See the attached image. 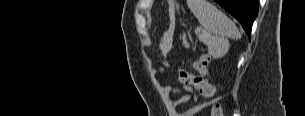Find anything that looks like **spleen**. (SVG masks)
Instances as JSON below:
<instances>
[{
    "label": "spleen",
    "mask_w": 305,
    "mask_h": 116,
    "mask_svg": "<svg viewBox=\"0 0 305 116\" xmlns=\"http://www.w3.org/2000/svg\"><path fill=\"white\" fill-rule=\"evenodd\" d=\"M187 5L201 26L209 33L215 34V37H211L208 42L211 49L216 45L227 48V38L238 39L241 37L232 20L210 2L206 0H187Z\"/></svg>",
    "instance_id": "spleen-1"
}]
</instances>
